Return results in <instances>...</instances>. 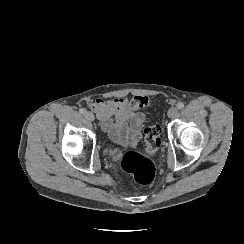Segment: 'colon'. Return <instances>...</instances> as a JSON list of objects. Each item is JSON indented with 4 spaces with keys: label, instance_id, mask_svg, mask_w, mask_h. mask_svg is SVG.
Masks as SVG:
<instances>
[{
    "label": "colon",
    "instance_id": "5ec220e1",
    "mask_svg": "<svg viewBox=\"0 0 244 244\" xmlns=\"http://www.w3.org/2000/svg\"><path fill=\"white\" fill-rule=\"evenodd\" d=\"M154 97L134 96L130 101L131 109L140 110L153 105ZM161 128L154 122L148 121L144 129V148L147 153H153L161 146ZM121 165L124 171L133 172L136 181L143 185H148L155 178L154 162L146 156L137 154L135 151H128Z\"/></svg>",
    "mask_w": 244,
    "mask_h": 244
}]
</instances>
